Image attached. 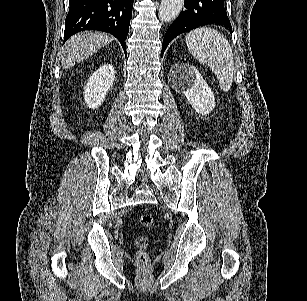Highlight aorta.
I'll use <instances>...</instances> for the list:
<instances>
[{
    "label": "aorta",
    "instance_id": "762f6f07",
    "mask_svg": "<svg viewBox=\"0 0 307 301\" xmlns=\"http://www.w3.org/2000/svg\"><path fill=\"white\" fill-rule=\"evenodd\" d=\"M184 0H161L158 16L162 22L175 20L182 10Z\"/></svg>",
    "mask_w": 307,
    "mask_h": 301
}]
</instances>
